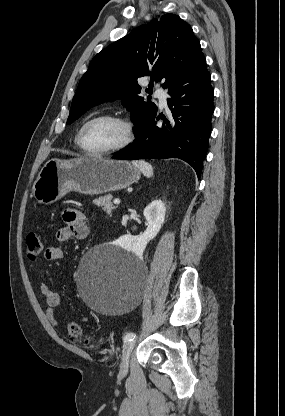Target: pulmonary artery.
<instances>
[{
    "instance_id": "obj_1",
    "label": "pulmonary artery",
    "mask_w": 285,
    "mask_h": 416,
    "mask_svg": "<svg viewBox=\"0 0 285 416\" xmlns=\"http://www.w3.org/2000/svg\"><path fill=\"white\" fill-rule=\"evenodd\" d=\"M154 95L159 100L160 107L163 109H167L168 107L167 101L169 98L167 90L163 88L162 86H156L154 88Z\"/></svg>"
}]
</instances>
